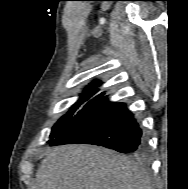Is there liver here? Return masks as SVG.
<instances>
[{"instance_id":"liver-1","label":"liver","mask_w":188,"mask_h":189,"mask_svg":"<svg viewBox=\"0 0 188 189\" xmlns=\"http://www.w3.org/2000/svg\"><path fill=\"white\" fill-rule=\"evenodd\" d=\"M32 189H152L144 170L126 157L91 145L47 150Z\"/></svg>"}]
</instances>
